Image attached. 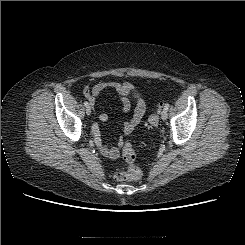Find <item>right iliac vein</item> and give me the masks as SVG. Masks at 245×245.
<instances>
[{
    "instance_id": "63e3f726",
    "label": "right iliac vein",
    "mask_w": 245,
    "mask_h": 245,
    "mask_svg": "<svg viewBox=\"0 0 245 245\" xmlns=\"http://www.w3.org/2000/svg\"><path fill=\"white\" fill-rule=\"evenodd\" d=\"M86 113H87V115L91 114V107L86 108Z\"/></svg>"
}]
</instances>
